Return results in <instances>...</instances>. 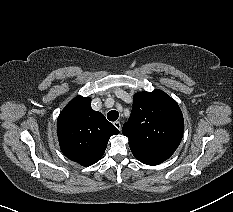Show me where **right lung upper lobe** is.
<instances>
[{"label": "right lung upper lobe", "instance_id": "obj_1", "mask_svg": "<svg viewBox=\"0 0 233 212\" xmlns=\"http://www.w3.org/2000/svg\"><path fill=\"white\" fill-rule=\"evenodd\" d=\"M118 133L102 113L92 110L91 99L81 95L66 105L57 120L62 152L83 166L96 163L104 154L109 138Z\"/></svg>", "mask_w": 233, "mask_h": 212}]
</instances>
